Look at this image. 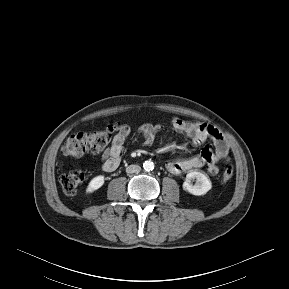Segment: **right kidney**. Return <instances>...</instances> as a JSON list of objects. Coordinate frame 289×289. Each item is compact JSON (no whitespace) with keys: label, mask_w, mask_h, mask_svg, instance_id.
Masks as SVG:
<instances>
[{"label":"right kidney","mask_w":289,"mask_h":289,"mask_svg":"<svg viewBox=\"0 0 289 289\" xmlns=\"http://www.w3.org/2000/svg\"><path fill=\"white\" fill-rule=\"evenodd\" d=\"M105 182V177L103 175H98L94 177L88 184L86 188L87 193H93L98 190Z\"/></svg>","instance_id":"obj_1"}]
</instances>
